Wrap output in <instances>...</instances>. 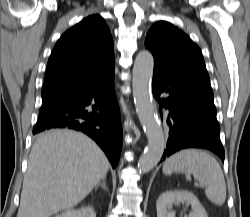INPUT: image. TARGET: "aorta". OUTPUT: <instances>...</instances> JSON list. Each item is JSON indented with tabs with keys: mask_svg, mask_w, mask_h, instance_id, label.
Returning a JSON list of instances; mask_svg holds the SVG:
<instances>
[{
	"mask_svg": "<svg viewBox=\"0 0 250 217\" xmlns=\"http://www.w3.org/2000/svg\"><path fill=\"white\" fill-rule=\"evenodd\" d=\"M153 68L154 58L151 52H139L133 66L132 89L137 115L148 139L147 147L138 161L139 169L143 173L158 164L165 148L163 129L150 92Z\"/></svg>",
	"mask_w": 250,
	"mask_h": 217,
	"instance_id": "obj_1",
	"label": "aorta"
}]
</instances>
